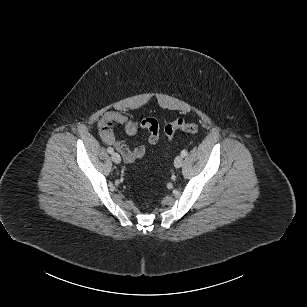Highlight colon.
<instances>
[{"instance_id":"5ec220e1","label":"colon","mask_w":307,"mask_h":307,"mask_svg":"<svg viewBox=\"0 0 307 307\" xmlns=\"http://www.w3.org/2000/svg\"><path fill=\"white\" fill-rule=\"evenodd\" d=\"M182 130L187 133L195 134L198 132L199 128L194 123H188L182 119L175 120L168 125H166L164 129L165 136L168 141H171L174 137L176 131Z\"/></svg>"}]
</instances>
